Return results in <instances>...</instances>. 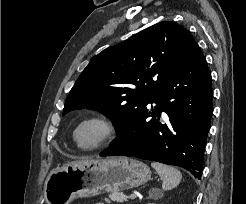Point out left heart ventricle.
Here are the masks:
<instances>
[{
	"label": "left heart ventricle",
	"mask_w": 246,
	"mask_h": 204,
	"mask_svg": "<svg viewBox=\"0 0 246 204\" xmlns=\"http://www.w3.org/2000/svg\"><path fill=\"white\" fill-rule=\"evenodd\" d=\"M100 134L99 126L95 124H88L83 126L78 132V139L79 141L84 144L88 145L93 143Z\"/></svg>",
	"instance_id": "1"
}]
</instances>
